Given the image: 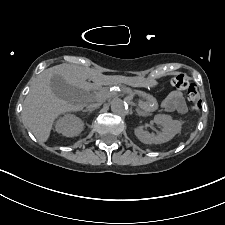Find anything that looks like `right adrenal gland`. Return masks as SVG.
Returning a JSON list of instances; mask_svg holds the SVG:
<instances>
[{
  "instance_id": "1",
  "label": "right adrenal gland",
  "mask_w": 225,
  "mask_h": 225,
  "mask_svg": "<svg viewBox=\"0 0 225 225\" xmlns=\"http://www.w3.org/2000/svg\"><path fill=\"white\" fill-rule=\"evenodd\" d=\"M95 109H85V110H83V112H92V111H94Z\"/></svg>"
}]
</instances>
